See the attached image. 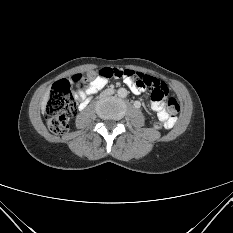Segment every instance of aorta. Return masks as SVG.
<instances>
[{"mask_svg": "<svg viewBox=\"0 0 233 233\" xmlns=\"http://www.w3.org/2000/svg\"><path fill=\"white\" fill-rule=\"evenodd\" d=\"M117 93L121 98H125L127 96V90L125 88L118 89Z\"/></svg>", "mask_w": 233, "mask_h": 233, "instance_id": "762f6f07", "label": "aorta"}]
</instances>
